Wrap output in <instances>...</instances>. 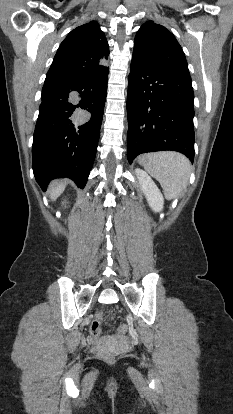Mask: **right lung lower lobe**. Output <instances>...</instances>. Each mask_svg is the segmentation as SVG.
Returning a JSON list of instances; mask_svg holds the SVG:
<instances>
[{"mask_svg":"<svg viewBox=\"0 0 233 414\" xmlns=\"http://www.w3.org/2000/svg\"><path fill=\"white\" fill-rule=\"evenodd\" d=\"M108 67L76 78L47 75L32 145V168L45 191L49 181L69 177L86 184L103 118Z\"/></svg>","mask_w":233,"mask_h":414,"instance_id":"obj_1","label":"right lung lower lobe"}]
</instances>
